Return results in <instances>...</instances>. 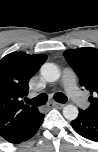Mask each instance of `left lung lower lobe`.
Instances as JSON below:
<instances>
[{"label":"left lung lower lobe","instance_id":"left-lung-lower-lobe-1","mask_svg":"<svg viewBox=\"0 0 98 152\" xmlns=\"http://www.w3.org/2000/svg\"><path fill=\"white\" fill-rule=\"evenodd\" d=\"M71 126L81 136L93 141L98 140V118L80 110Z\"/></svg>","mask_w":98,"mask_h":152}]
</instances>
